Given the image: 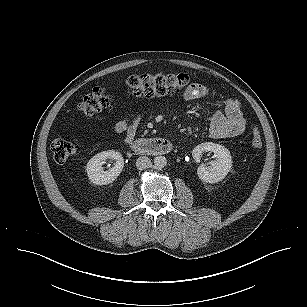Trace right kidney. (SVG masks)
<instances>
[{
    "label": "right kidney",
    "instance_id": "obj_1",
    "mask_svg": "<svg viewBox=\"0 0 307 307\" xmlns=\"http://www.w3.org/2000/svg\"><path fill=\"white\" fill-rule=\"evenodd\" d=\"M116 160L114 167L104 171L103 161L106 159ZM124 160L122 155L114 150L103 151L93 156L86 166L89 180L96 185H107L112 183L122 172Z\"/></svg>",
    "mask_w": 307,
    "mask_h": 307
}]
</instances>
